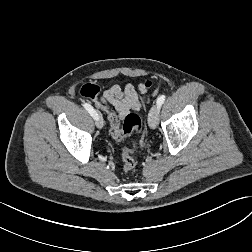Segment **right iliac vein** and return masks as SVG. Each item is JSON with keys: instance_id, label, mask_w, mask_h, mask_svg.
Masks as SVG:
<instances>
[{"instance_id": "right-iliac-vein-1", "label": "right iliac vein", "mask_w": 252, "mask_h": 252, "mask_svg": "<svg viewBox=\"0 0 252 252\" xmlns=\"http://www.w3.org/2000/svg\"><path fill=\"white\" fill-rule=\"evenodd\" d=\"M97 114H98V118L96 119V126L97 128L101 129L104 126L103 118L101 117L99 113Z\"/></svg>"}]
</instances>
